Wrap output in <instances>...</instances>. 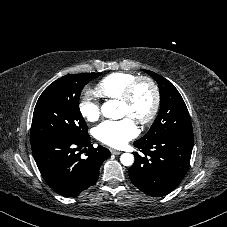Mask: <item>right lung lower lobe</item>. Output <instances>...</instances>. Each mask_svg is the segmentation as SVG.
Masks as SVG:
<instances>
[{
  "label": "right lung lower lobe",
  "mask_w": 227,
  "mask_h": 227,
  "mask_svg": "<svg viewBox=\"0 0 227 227\" xmlns=\"http://www.w3.org/2000/svg\"><path fill=\"white\" fill-rule=\"evenodd\" d=\"M31 147L46 183L65 197H76L94 185L101 164L111 155L102 146L94 148L88 134L82 138L52 136ZM83 147L87 148L81 150ZM82 152H85L86 158L81 157Z\"/></svg>",
  "instance_id": "98d812e1"
}]
</instances>
